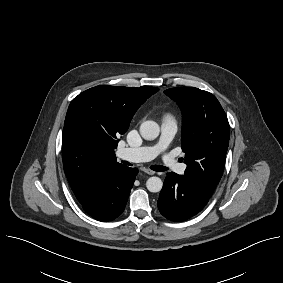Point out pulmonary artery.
<instances>
[{
    "label": "pulmonary artery",
    "mask_w": 283,
    "mask_h": 283,
    "mask_svg": "<svg viewBox=\"0 0 283 283\" xmlns=\"http://www.w3.org/2000/svg\"><path fill=\"white\" fill-rule=\"evenodd\" d=\"M176 132V121L170 117H166L161 124L160 138L155 144L136 148H120L117 151V156L121 159L130 161H150L162 154V162L164 166L175 173L182 175L186 170V165L180 163L173 155L164 153L170 146Z\"/></svg>",
    "instance_id": "obj_1"
}]
</instances>
